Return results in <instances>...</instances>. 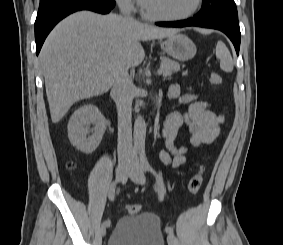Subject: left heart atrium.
Here are the masks:
<instances>
[{"mask_svg": "<svg viewBox=\"0 0 283 245\" xmlns=\"http://www.w3.org/2000/svg\"><path fill=\"white\" fill-rule=\"evenodd\" d=\"M141 3H143L145 0H139Z\"/></svg>", "mask_w": 283, "mask_h": 245, "instance_id": "obj_1", "label": "left heart atrium"}]
</instances>
